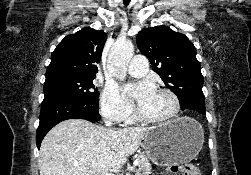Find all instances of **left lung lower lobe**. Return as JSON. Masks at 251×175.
<instances>
[{"label":"left lung lower lobe","instance_id":"left-lung-lower-lobe-1","mask_svg":"<svg viewBox=\"0 0 251 175\" xmlns=\"http://www.w3.org/2000/svg\"><path fill=\"white\" fill-rule=\"evenodd\" d=\"M182 110H185L186 113L191 117H201L205 115V105L200 104H184L181 105Z\"/></svg>","mask_w":251,"mask_h":175}]
</instances>
